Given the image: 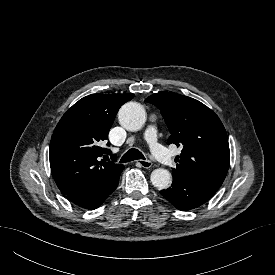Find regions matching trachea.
Here are the masks:
<instances>
[{
  "mask_svg": "<svg viewBox=\"0 0 275 275\" xmlns=\"http://www.w3.org/2000/svg\"><path fill=\"white\" fill-rule=\"evenodd\" d=\"M138 159H145V157L138 149L132 148L122 156L120 163H126Z\"/></svg>",
  "mask_w": 275,
  "mask_h": 275,
  "instance_id": "trachea-1",
  "label": "trachea"
}]
</instances>
